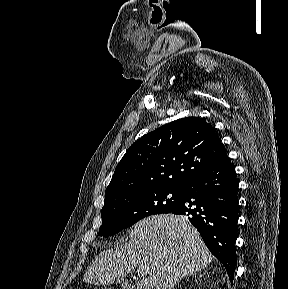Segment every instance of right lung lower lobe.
<instances>
[{"label": "right lung lower lobe", "mask_w": 288, "mask_h": 289, "mask_svg": "<svg viewBox=\"0 0 288 289\" xmlns=\"http://www.w3.org/2000/svg\"><path fill=\"white\" fill-rule=\"evenodd\" d=\"M182 189L181 202L169 213L189 219L211 253L222 262L232 283L239 200L235 169L227 154Z\"/></svg>", "instance_id": "1"}]
</instances>
